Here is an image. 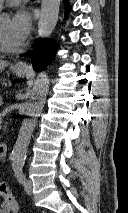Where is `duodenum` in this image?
Instances as JSON below:
<instances>
[{"label": "duodenum", "instance_id": "obj_1", "mask_svg": "<svg viewBox=\"0 0 128 213\" xmlns=\"http://www.w3.org/2000/svg\"><path fill=\"white\" fill-rule=\"evenodd\" d=\"M8 151V145L5 142H0V158H5Z\"/></svg>", "mask_w": 128, "mask_h": 213}]
</instances>
